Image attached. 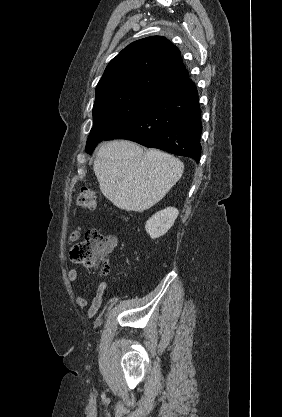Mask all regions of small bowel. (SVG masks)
Returning <instances> with one entry per match:
<instances>
[{
    "instance_id": "obj_1",
    "label": "small bowel",
    "mask_w": 282,
    "mask_h": 417,
    "mask_svg": "<svg viewBox=\"0 0 282 417\" xmlns=\"http://www.w3.org/2000/svg\"><path fill=\"white\" fill-rule=\"evenodd\" d=\"M81 232H82V228L81 227H77L75 228L69 235L68 238V242L72 243L75 242L76 240H78L81 236ZM106 242H107V246L108 249H113L115 248V246L117 245V239L116 237L112 236V235H107L106 236ZM78 270L77 269H70L67 273V277L68 280L70 282H74L77 280L78 278ZM108 288V283L106 281H101L98 286H97V290H96V294L93 297V299L91 300V302H89V300L81 295H77L75 298L76 304L80 307V308H85L88 307V317L92 318L94 317L101 305H102V301H103V295L106 292Z\"/></svg>"
}]
</instances>
